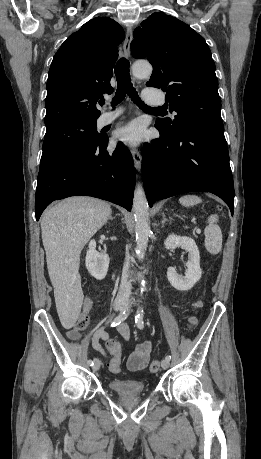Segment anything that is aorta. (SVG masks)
<instances>
[{"instance_id": "aorta-1", "label": "aorta", "mask_w": 261, "mask_h": 459, "mask_svg": "<svg viewBox=\"0 0 261 459\" xmlns=\"http://www.w3.org/2000/svg\"><path fill=\"white\" fill-rule=\"evenodd\" d=\"M132 73L138 79L147 78L152 73V66L146 62H136ZM133 208L135 217L136 255L143 260L150 235L148 202L143 187L138 184L134 191Z\"/></svg>"}]
</instances>
